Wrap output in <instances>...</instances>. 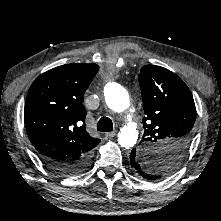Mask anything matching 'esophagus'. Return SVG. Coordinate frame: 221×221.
Wrapping results in <instances>:
<instances>
[{
	"instance_id": "1",
	"label": "esophagus",
	"mask_w": 221,
	"mask_h": 221,
	"mask_svg": "<svg viewBox=\"0 0 221 221\" xmlns=\"http://www.w3.org/2000/svg\"><path fill=\"white\" fill-rule=\"evenodd\" d=\"M116 135V132H107L105 133V136L109 139L113 138Z\"/></svg>"
}]
</instances>
